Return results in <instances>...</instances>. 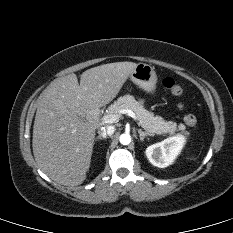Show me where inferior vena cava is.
Wrapping results in <instances>:
<instances>
[{"instance_id": "1", "label": "inferior vena cava", "mask_w": 233, "mask_h": 233, "mask_svg": "<svg viewBox=\"0 0 233 233\" xmlns=\"http://www.w3.org/2000/svg\"><path fill=\"white\" fill-rule=\"evenodd\" d=\"M114 132H115V127L112 125L101 127L98 130L99 136L104 137V138H106L107 136L113 135Z\"/></svg>"}]
</instances>
